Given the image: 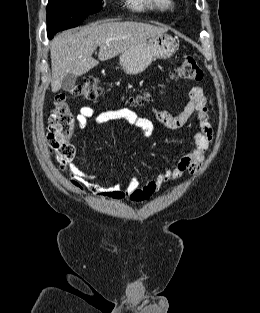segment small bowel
I'll return each mask as SVG.
<instances>
[{
  "label": "small bowel",
  "instance_id": "1",
  "mask_svg": "<svg viewBox=\"0 0 260 313\" xmlns=\"http://www.w3.org/2000/svg\"><path fill=\"white\" fill-rule=\"evenodd\" d=\"M153 113L160 123L173 130L186 126L192 117L197 120L198 128L192 134V144L189 151L182 155L173 167L159 172L143 186H140L137 177H132L127 182L120 181L114 184L101 185L95 182L98 178L97 175L85 173L77 162H72L69 168L70 185L82 194L90 192L98 198L114 201L129 200L139 203L149 199L165 184L181 178L185 173H196L205 162L213 140V128L210 123L203 88L200 86L191 88L189 100L184 110L179 114L175 115L158 107L153 108ZM91 118H94L99 124L112 121L125 122L135 127L143 136H148L151 133V122L130 109L96 112L90 106H83L76 117L78 127L85 129Z\"/></svg>",
  "mask_w": 260,
  "mask_h": 313
}]
</instances>
